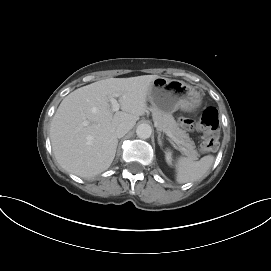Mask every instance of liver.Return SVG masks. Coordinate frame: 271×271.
Here are the masks:
<instances>
[{
  "label": "liver",
  "instance_id": "1",
  "mask_svg": "<svg viewBox=\"0 0 271 271\" xmlns=\"http://www.w3.org/2000/svg\"><path fill=\"white\" fill-rule=\"evenodd\" d=\"M158 75L108 78L71 92L60 103L50 127L52 150L59 165L80 177L107 170L115 157L116 128L133 126L147 111V94ZM118 97L122 111L113 113L109 99Z\"/></svg>",
  "mask_w": 271,
  "mask_h": 271
}]
</instances>
